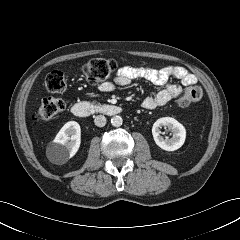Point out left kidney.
Here are the masks:
<instances>
[{
	"label": "left kidney",
	"instance_id": "left-kidney-1",
	"mask_svg": "<svg viewBox=\"0 0 240 240\" xmlns=\"http://www.w3.org/2000/svg\"><path fill=\"white\" fill-rule=\"evenodd\" d=\"M167 127L172 132V138L164 139L160 133V128ZM152 135L155 143L165 151H175L185 142V127L172 117H162L158 119L152 127Z\"/></svg>",
	"mask_w": 240,
	"mask_h": 240
}]
</instances>
